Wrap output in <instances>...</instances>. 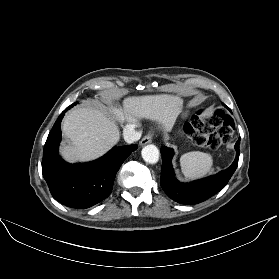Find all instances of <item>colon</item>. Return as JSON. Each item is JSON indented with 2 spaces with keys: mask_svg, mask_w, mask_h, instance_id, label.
<instances>
[{
  "mask_svg": "<svg viewBox=\"0 0 279 279\" xmlns=\"http://www.w3.org/2000/svg\"><path fill=\"white\" fill-rule=\"evenodd\" d=\"M193 143L202 148L215 149L227 143L234 132V122L223 111L199 113L191 123Z\"/></svg>",
  "mask_w": 279,
  "mask_h": 279,
  "instance_id": "colon-1",
  "label": "colon"
}]
</instances>
